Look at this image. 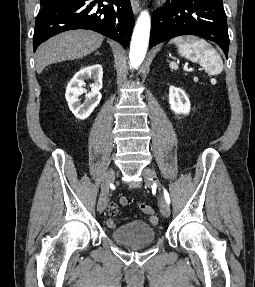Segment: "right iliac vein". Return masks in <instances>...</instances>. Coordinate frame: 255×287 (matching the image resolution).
I'll return each instance as SVG.
<instances>
[{
    "mask_svg": "<svg viewBox=\"0 0 255 287\" xmlns=\"http://www.w3.org/2000/svg\"><path fill=\"white\" fill-rule=\"evenodd\" d=\"M114 180H115V171L114 169H110L107 172L103 181L102 193L97 206L99 213H103L107 206L109 186L114 182Z\"/></svg>",
    "mask_w": 255,
    "mask_h": 287,
    "instance_id": "1",
    "label": "right iliac vein"
}]
</instances>
